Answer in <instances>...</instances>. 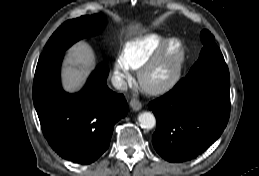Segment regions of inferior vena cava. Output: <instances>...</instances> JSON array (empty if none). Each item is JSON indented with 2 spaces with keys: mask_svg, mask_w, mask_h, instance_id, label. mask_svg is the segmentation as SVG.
Segmentation results:
<instances>
[{
  "mask_svg": "<svg viewBox=\"0 0 259 176\" xmlns=\"http://www.w3.org/2000/svg\"><path fill=\"white\" fill-rule=\"evenodd\" d=\"M111 81L112 85L118 90L126 91L128 88L126 81L119 76H113Z\"/></svg>",
  "mask_w": 259,
  "mask_h": 176,
  "instance_id": "obj_1",
  "label": "inferior vena cava"
}]
</instances>
